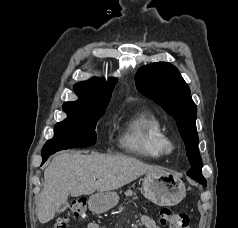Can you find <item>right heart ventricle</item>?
Here are the masks:
<instances>
[{
    "label": "right heart ventricle",
    "instance_id": "right-heart-ventricle-1",
    "mask_svg": "<svg viewBox=\"0 0 238 228\" xmlns=\"http://www.w3.org/2000/svg\"><path fill=\"white\" fill-rule=\"evenodd\" d=\"M165 136L160 119L142 109L125 120L120 146L130 154L158 160L165 155L162 150Z\"/></svg>",
    "mask_w": 238,
    "mask_h": 228
}]
</instances>
